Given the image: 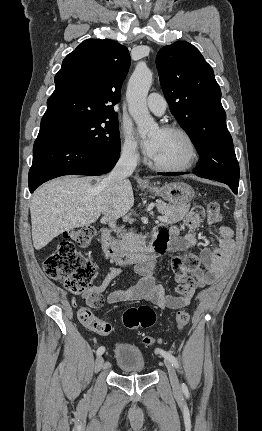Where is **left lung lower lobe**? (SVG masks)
<instances>
[{
	"instance_id": "left-lung-lower-lobe-1",
	"label": "left lung lower lobe",
	"mask_w": 262,
	"mask_h": 431,
	"mask_svg": "<svg viewBox=\"0 0 262 431\" xmlns=\"http://www.w3.org/2000/svg\"><path fill=\"white\" fill-rule=\"evenodd\" d=\"M194 174H196L197 176H199L196 172H193ZM160 175H168V176H172V175H181L183 173H159ZM201 177V176H200ZM228 186L232 189V191L237 194L238 191V185H234V184H228Z\"/></svg>"
}]
</instances>
